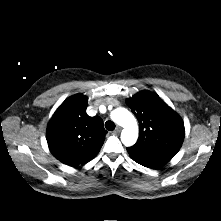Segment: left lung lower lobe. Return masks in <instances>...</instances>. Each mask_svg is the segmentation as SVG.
<instances>
[{
	"label": "left lung lower lobe",
	"mask_w": 221,
	"mask_h": 221,
	"mask_svg": "<svg viewBox=\"0 0 221 221\" xmlns=\"http://www.w3.org/2000/svg\"><path fill=\"white\" fill-rule=\"evenodd\" d=\"M134 161L151 169H157L168 162L162 159L134 160Z\"/></svg>",
	"instance_id": "1"
}]
</instances>
